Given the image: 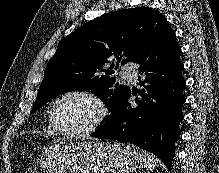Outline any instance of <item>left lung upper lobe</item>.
Listing matches in <instances>:
<instances>
[{
	"mask_svg": "<svg viewBox=\"0 0 219 173\" xmlns=\"http://www.w3.org/2000/svg\"><path fill=\"white\" fill-rule=\"evenodd\" d=\"M172 32L165 16L148 7L118 10L81 26L58 44L32 112L60 94L92 90L112 114L130 88L115 83L110 76L115 71L105 70L104 64L109 58L116 60L117 70L122 57V64L136 62Z\"/></svg>",
	"mask_w": 219,
	"mask_h": 173,
	"instance_id": "1",
	"label": "left lung upper lobe"
}]
</instances>
